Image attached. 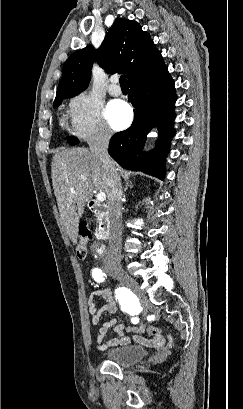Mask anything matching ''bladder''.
<instances>
[{
	"instance_id": "bladder-1",
	"label": "bladder",
	"mask_w": 243,
	"mask_h": 409,
	"mask_svg": "<svg viewBox=\"0 0 243 409\" xmlns=\"http://www.w3.org/2000/svg\"><path fill=\"white\" fill-rule=\"evenodd\" d=\"M146 350L137 345H124L105 351V359L121 367H128L143 360Z\"/></svg>"
}]
</instances>
